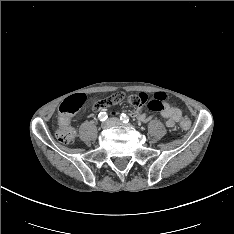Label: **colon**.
I'll return each mask as SVG.
<instances>
[{"instance_id": "5ec220e1", "label": "colon", "mask_w": 234, "mask_h": 234, "mask_svg": "<svg viewBox=\"0 0 234 234\" xmlns=\"http://www.w3.org/2000/svg\"><path fill=\"white\" fill-rule=\"evenodd\" d=\"M127 99V101L139 108L142 106H147L151 110L158 111L164 100L166 99V94L163 92H157L152 96H148L145 93H137L131 95H125L124 93H116L111 99H109L112 103L121 101L123 99ZM85 103V97L82 94H76L65 99L58 110V131L57 137L60 142L64 144H72L77 136L76 130L70 125L71 118L73 115L83 106ZM102 106V101L97 100L93 103V107L95 109H99ZM190 127V121L188 119H184L181 122L182 129H188Z\"/></svg>"}]
</instances>
